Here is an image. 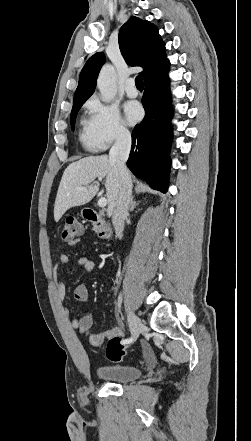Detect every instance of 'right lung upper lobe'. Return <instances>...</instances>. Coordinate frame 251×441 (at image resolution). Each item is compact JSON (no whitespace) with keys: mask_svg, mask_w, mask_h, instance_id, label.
Returning <instances> with one entry per match:
<instances>
[{"mask_svg":"<svg viewBox=\"0 0 251 441\" xmlns=\"http://www.w3.org/2000/svg\"><path fill=\"white\" fill-rule=\"evenodd\" d=\"M118 39L119 48L127 64L143 68L140 74L144 77V81L169 67L165 43L158 29L150 22L135 16L130 17L121 27ZM104 62L105 56L101 52L88 59L80 73L73 102L87 100L93 94L98 73Z\"/></svg>","mask_w":251,"mask_h":441,"instance_id":"1","label":"right lung upper lobe"}]
</instances>
